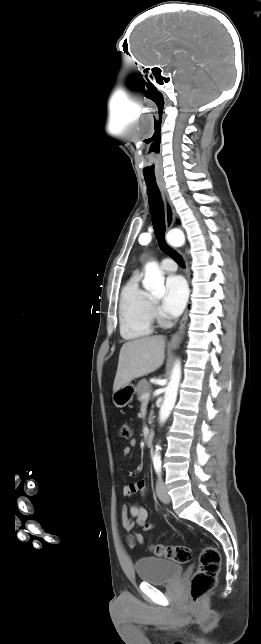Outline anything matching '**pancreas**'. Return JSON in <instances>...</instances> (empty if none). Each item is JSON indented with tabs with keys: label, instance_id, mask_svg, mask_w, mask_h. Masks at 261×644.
I'll list each match as a JSON object with an SVG mask.
<instances>
[{
	"label": "pancreas",
	"instance_id": "cf45deb5",
	"mask_svg": "<svg viewBox=\"0 0 261 644\" xmlns=\"http://www.w3.org/2000/svg\"><path fill=\"white\" fill-rule=\"evenodd\" d=\"M150 390H151V385H150V383H149L147 380H145V379L140 380V381H139V383L137 384V387H136V392H137L138 400H139L140 402L145 401V400L142 398V396H143V394H144V393H147V392H149ZM152 415H153V412L151 411V414H150V417H149V421H151V420H152Z\"/></svg>",
	"mask_w": 261,
	"mask_h": 644
}]
</instances>
